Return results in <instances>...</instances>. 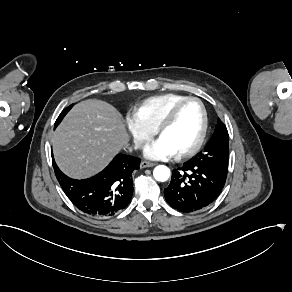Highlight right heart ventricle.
Segmentation results:
<instances>
[{
    "label": "right heart ventricle",
    "mask_w": 292,
    "mask_h": 292,
    "mask_svg": "<svg viewBox=\"0 0 292 292\" xmlns=\"http://www.w3.org/2000/svg\"><path fill=\"white\" fill-rule=\"evenodd\" d=\"M186 95L168 92L146 98L131 108L133 115L145 126L155 129L167 109Z\"/></svg>",
    "instance_id": "obj_1"
}]
</instances>
